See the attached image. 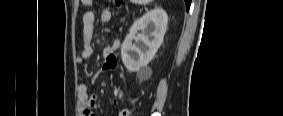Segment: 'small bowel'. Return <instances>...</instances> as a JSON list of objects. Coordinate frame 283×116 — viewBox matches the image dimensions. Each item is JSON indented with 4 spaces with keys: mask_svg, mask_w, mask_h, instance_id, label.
<instances>
[{
    "mask_svg": "<svg viewBox=\"0 0 283 116\" xmlns=\"http://www.w3.org/2000/svg\"><path fill=\"white\" fill-rule=\"evenodd\" d=\"M83 4L89 6L83 15V27L81 35L82 49L79 56L76 59L78 64H84L86 61L90 60L94 55V49L92 46V38L94 34V18L95 9L92 0H83ZM111 19V13L108 9H102L99 14V20L102 23H107ZM120 47V40L116 39L104 50V56L106 61L103 64L102 69L105 71L111 70L116 66V56L114 52ZM77 97L79 100L80 114L82 116L94 115L90 112L91 108L97 105V94L90 93L87 86L84 84L79 85L77 89ZM113 104H117V100H113ZM131 111L129 109H122L119 111V116H130Z\"/></svg>",
    "mask_w": 283,
    "mask_h": 116,
    "instance_id": "c3829d8e",
    "label": "small bowel"
}]
</instances>
